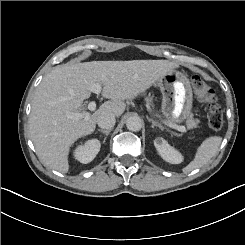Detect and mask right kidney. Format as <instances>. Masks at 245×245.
<instances>
[{
  "label": "right kidney",
  "instance_id": "obj_1",
  "mask_svg": "<svg viewBox=\"0 0 245 245\" xmlns=\"http://www.w3.org/2000/svg\"><path fill=\"white\" fill-rule=\"evenodd\" d=\"M101 142L97 138H91L78 144L72 151L73 159L81 164L91 162L99 153Z\"/></svg>",
  "mask_w": 245,
  "mask_h": 245
}]
</instances>
